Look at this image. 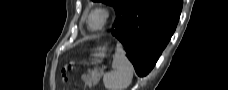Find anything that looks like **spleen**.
Instances as JSON below:
<instances>
[{
	"label": "spleen",
	"mask_w": 228,
	"mask_h": 90,
	"mask_svg": "<svg viewBox=\"0 0 228 90\" xmlns=\"http://www.w3.org/2000/svg\"><path fill=\"white\" fill-rule=\"evenodd\" d=\"M112 68L113 71L103 77L105 88L107 90H125L132 81L134 68L125 56V51L120 44H117Z\"/></svg>",
	"instance_id": "1"
}]
</instances>
